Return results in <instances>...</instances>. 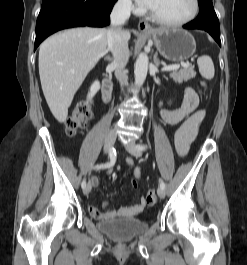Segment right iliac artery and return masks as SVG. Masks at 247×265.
I'll return each mask as SVG.
<instances>
[{"instance_id": "right-iliac-artery-1", "label": "right iliac artery", "mask_w": 247, "mask_h": 265, "mask_svg": "<svg viewBox=\"0 0 247 265\" xmlns=\"http://www.w3.org/2000/svg\"><path fill=\"white\" fill-rule=\"evenodd\" d=\"M109 156H110V162H107V163L101 164V165H95L93 167V169L99 170L101 168H109V167H112L115 164V161H116V151L114 150V148L113 149L112 148L110 149ZM81 186H82L83 189L86 187V180L85 179L82 181Z\"/></svg>"}]
</instances>
